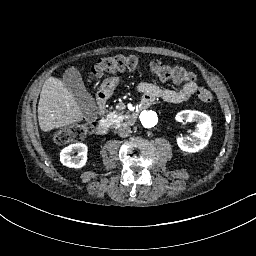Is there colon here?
Here are the masks:
<instances>
[{
	"mask_svg": "<svg viewBox=\"0 0 256 256\" xmlns=\"http://www.w3.org/2000/svg\"><path fill=\"white\" fill-rule=\"evenodd\" d=\"M140 66V60L134 55H116L105 57L99 60L94 66L92 80H99L103 77L115 74L121 71H134ZM150 69L153 73L165 80H175L177 82L192 83L196 80V75L189 70L181 67H173L153 60L150 63ZM197 97L205 103L214 101V95L211 91L199 88L196 92ZM92 130L91 124L76 123L53 134V139L57 143L70 144L80 142Z\"/></svg>",
	"mask_w": 256,
	"mask_h": 256,
	"instance_id": "colon-1",
	"label": "colon"
}]
</instances>
